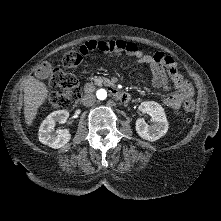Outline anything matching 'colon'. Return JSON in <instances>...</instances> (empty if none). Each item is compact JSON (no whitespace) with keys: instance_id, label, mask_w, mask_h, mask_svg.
I'll list each match as a JSON object with an SVG mask.
<instances>
[{"instance_id":"colon-1","label":"colon","mask_w":221,"mask_h":221,"mask_svg":"<svg viewBox=\"0 0 221 221\" xmlns=\"http://www.w3.org/2000/svg\"><path fill=\"white\" fill-rule=\"evenodd\" d=\"M84 55L80 51L71 50L64 54L62 64L64 68L71 69L80 65ZM48 84L59 91L52 92L48 96L49 103L57 109L68 110L73 108L81 97L80 83L72 72L61 69H52L48 77ZM194 110V102L187 99L183 104V112L189 115Z\"/></svg>"}]
</instances>
